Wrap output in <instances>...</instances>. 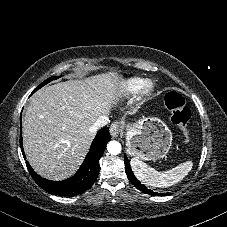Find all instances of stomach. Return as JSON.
Instances as JSON below:
<instances>
[{"label": "stomach", "mask_w": 227, "mask_h": 227, "mask_svg": "<svg viewBox=\"0 0 227 227\" xmlns=\"http://www.w3.org/2000/svg\"><path fill=\"white\" fill-rule=\"evenodd\" d=\"M171 144L170 129L157 117L143 118L127 126V152L138 159H161L169 152Z\"/></svg>", "instance_id": "obj_1"}]
</instances>
